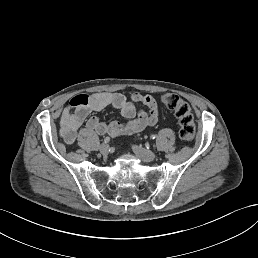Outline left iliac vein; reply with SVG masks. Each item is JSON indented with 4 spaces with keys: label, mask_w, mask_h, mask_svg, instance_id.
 Instances as JSON below:
<instances>
[{
    "label": "left iliac vein",
    "mask_w": 258,
    "mask_h": 258,
    "mask_svg": "<svg viewBox=\"0 0 258 258\" xmlns=\"http://www.w3.org/2000/svg\"><path fill=\"white\" fill-rule=\"evenodd\" d=\"M132 152L135 153L140 159H143L144 163H149L156 159V154L149 150H143L141 146H133Z\"/></svg>",
    "instance_id": "obj_1"
}]
</instances>
